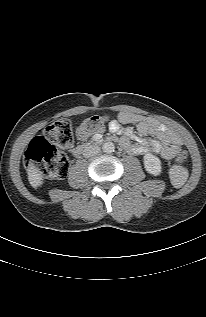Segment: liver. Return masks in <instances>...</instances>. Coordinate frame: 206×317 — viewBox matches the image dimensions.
<instances>
[{
  "mask_svg": "<svg viewBox=\"0 0 206 317\" xmlns=\"http://www.w3.org/2000/svg\"><path fill=\"white\" fill-rule=\"evenodd\" d=\"M27 173L28 181L33 188H37L43 184V175L35 165L29 164Z\"/></svg>",
  "mask_w": 206,
  "mask_h": 317,
  "instance_id": "liver-1",
  "label": "liver"
}]
</instances>
